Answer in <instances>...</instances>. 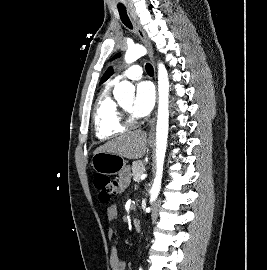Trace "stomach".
Segmentation results:
<instances>
[{
    "label": "stomach",
    "mask_w": 267,
    "mask_h": 270,
    "mask_svg": "<svg viewBox=\"0 0 267 270\" xmlns=\"http://www.w3.org/2000/svg\"><path fill=\"white\" fill-rule=\"evenodd\" d=\"M91 165L94 170L102 174H118L126 166V161L122 156L108 152L94 154Z\"/></svg>",
    "instance_id": "1"
}]
</instances>
